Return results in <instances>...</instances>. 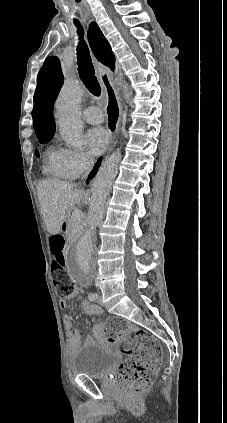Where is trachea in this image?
<instances>
[{"label": "trachea", "instance_id": "obj_1", "mask_svg": "<svg viewBox=\"0 0 227 423\" xmlns=\"http://www.w3.org/2000/svg\"><path fill=\"white\" fill-rule=\"evenodd\" d=\"M74 25L77 27V33L79 35V44L77 46V65L79 76L83 81L89 92L96 97L101 95V87L95 76V70L88 49V45L84 41V30L79 20L74 19Z\"/></svg>", "mask_w": 227, "mask_h": 423}]
</instances>
